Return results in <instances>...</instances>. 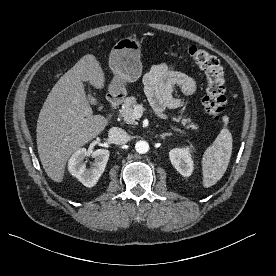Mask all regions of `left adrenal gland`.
<instances>
[{"label":"left adrenal gland","instance_id":"obj_1","mask_svg":"<svg viewBox=\"0 0 276 276\" xmlns=\"http://www.w3.org/2000/svg\"><path fill=\"white\" fill-rule=\"evenodd\" d=\"M171 135H172V133H163L160 135V138L165 139L166 136H171Z\"/></svg>","mask_w":276,"mask_h":276}]
</instances>
